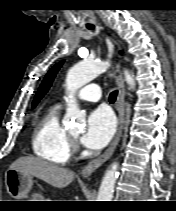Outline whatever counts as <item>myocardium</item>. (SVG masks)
Masks as SVG:
<instances>
[{
    "instance_id": "myocardium-1",
    "label": "myocardium",
    "mask_w": 176,
    "mask_h": 211,
    "mask_svg": "<svg viewBox=\"0 0 176 211\" xmlns=\"http://www.w3.org/2000/svg\"><path fill=\"white\" fill-rule=\"evenodd\" d=\"M68 135H69V138L71 140V143H74L75 140H76V137L74 135H72V134H69V133H68Z\"/></svg>"
}]
</instances>
